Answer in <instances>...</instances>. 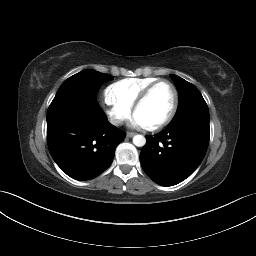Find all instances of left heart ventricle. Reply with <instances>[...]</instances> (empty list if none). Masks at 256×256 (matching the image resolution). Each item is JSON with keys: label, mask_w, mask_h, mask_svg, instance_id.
<instances>
[{"label": "left heart ventricle", "mask_w": 256, "mask_h": 256, "mask_svg": "<svg viewBox=\"0 0 256 256\" xmlns=\"http://www.w3.org/2000/svg\"><path fill=\"white\" fill-rule=\"evenodd\" d=\"M174 99L172 88L167 84L158 85L142 104L135 115L145 126L158 123L166 117Z\"/></svg>", "instance_id": "b2bd125f"}]
</instances>
